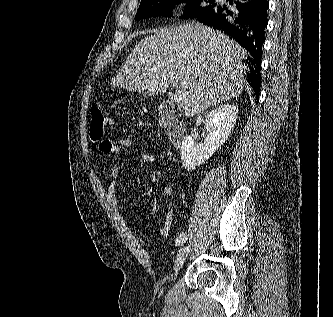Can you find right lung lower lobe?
<instances>
[{"label": "right lung lower lobe", "instance_id": "right-lung-lower-lobe-1", "mask_svg": "<svg viewBox=\"0 0 333 317\" xmlns=\"http://www.w3.org/2000/svg\"><path fill=\"white\" fill-rule=\"evenodd\" d=\"M233 9L212 4L201 11L195 18L205 25L218 29L247 49L252 58V69L247 74V81L257 98L261 87V57L265 28L268 24V0H227Z\"/></svg>", "mask_w": 333, "mask_h": 317}]
</instances>
